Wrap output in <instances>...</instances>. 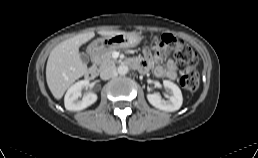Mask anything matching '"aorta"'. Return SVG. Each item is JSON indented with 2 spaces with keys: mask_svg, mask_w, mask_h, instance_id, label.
<instances>
[{
  "mask_svg": "<svg viewBox=\"0 0 258 158\" xmlns=\"http://www.w3.org/2000/svg\"><path fill=\"white\" fill-rule=\"evenodd\" d=\"M117 71H118V73H119L120 75H125V74L128 73L129 69H128V66H126V65H120V66L118 67Z\"/></svg>",
  "mask_w": 258,
  "mask_h": 158,
  "instance_id": "aorta-1",
  "label": "aorta"
}]
</instances>
